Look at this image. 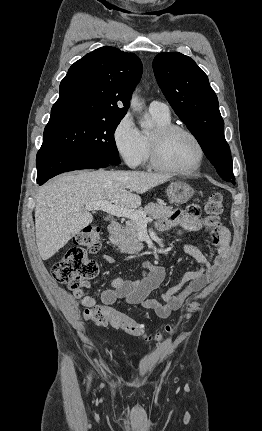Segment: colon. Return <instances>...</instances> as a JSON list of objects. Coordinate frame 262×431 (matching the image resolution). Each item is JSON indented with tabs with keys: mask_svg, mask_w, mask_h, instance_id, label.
Wrapping results in <instances>:
<instances>
[{
	"mask_svg": "<svg viewBox=\"0 0 262 431\" xmlns=\"http://www.w3.org/2000/svg\"><path fill=\"white\" fill-rule=\"evenodd\" d=\"M223 198L219 192L211 193L204 206L207 216H219L223 212ZM197 206L190 205L188 213L194 215L197 213ZM98 227L89 225L83 232L77 234L73 240V246L65 249L62 257L52 267V273L56 280L65 285L70 290H77L93 279L99 266L96 262L90 260L85 251L99 252L102 250V244L98 238ZM97 324L107 323L112 328L123 330L133 336L141 337L145 340H154L156 342L164 341L176 331L175 324H168L164 333H158L154 336L146 334L143 326L124 313L115 312L110 316H103L101 311L90 317Z\"/></svg>",
	"mask_w": 262,
	"mask_h": 431,
	"instance_id": "1",
	"label": "colon"
}]
</instances>
